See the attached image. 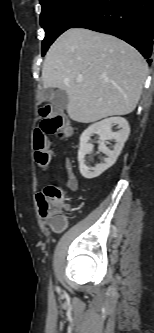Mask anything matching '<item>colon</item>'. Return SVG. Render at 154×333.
I'll list each match as a JSON object with an SVG mask.
<instances>
[{"mask_svg": "<svg viewBox=\"0 0 154 333\" xmlns=\"http://www.w3.org/2000/svg\"><path fill=\"white\" fill-rule=\"evenodd\" d=\"M42 120L33 133V148L36 165L46 169L51 162V150L48 135H56L63 139L71 135L72 129L68 120L59 113L41 109ZM40 215L54 230L63 229L66 225L64 216L63 191L54 185L47 186L37 197Z\"/></svg>", "mask_w": 154, "mask_h": 333, "instance_id": "obj_1", "label": "colon"}]
</instances>
